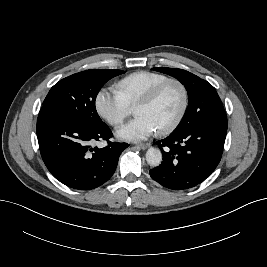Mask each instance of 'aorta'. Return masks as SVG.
<instances>
[{
  "instance_id": "762f6f07",
  "label": "aorta",
  "mask_w": 267,
  "mask_h": 267,
  "mask_svg": "<svg viewBox=\"0 0 267 267\" xmlns=\"http://www.w3.org/2000/svg\"><path fill=\"white\" fill-rule=\"evenodd\" d=\"M146 161L150 166H159L162 162V153L158 148L150 147L146 152Z\"/></svg>"
}]
</instances>
